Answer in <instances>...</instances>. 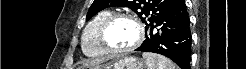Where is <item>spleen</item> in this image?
<instances>
[{
	"instance_id": "obj_1",
	"label": "spleen",
	"mask_w": 246,
	"mask_h": 69,
	"mask_svg": "<svg viewBox=\"0 0 246 69\" xmlns=\"http://www.w3.org/2000/svg\"><path fill=\"white\" fill-rule=\"evenodd\" d=\"M142 56L146 60L148 69H177L171 60L162 55L144 52Z\"/></svg>"
}]
</instances>
